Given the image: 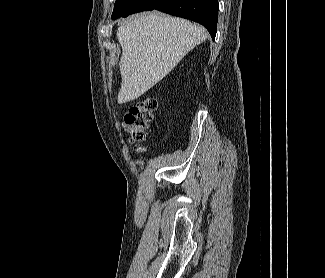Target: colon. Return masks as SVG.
Wrapping results in <instances>:
<instances>
[{
    "mask_svg": "<svg viewBox=\"0 0 325 278\" xmlns=\"http://www.w3.org/2000/svg\"><path fill=\"white\" fill-rule=\"evenodd\" d=\"M157 101L145 98L134 103L124 116L123 126L130 135L132 142H142L146 138V131L154 120ZM142 151V149H139Z\"/></svg>",
    "mask_w": 325,
    "mask_h": 278,
    "instance_id": "obj_1",
    "label": "colon"
}]
</instances>
